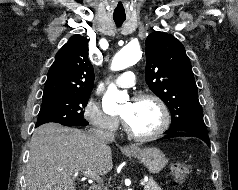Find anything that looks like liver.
<instances>
[{"instance_id": "obj_1", "label": "liver", "mask_w": 238, "mask_h": 190, "mask_svg": "<svg viewBox=\"0 0 238 190\" xmlns=\"http://www.w3.org/2000/svg\"><path fill=\"white\" fill-rule=\"evenodd\" d=\"M113 168L111 148L93 133L47 123L35 129L27 164V190H75L72 176Z\"/></svg>"}]
</instances>
